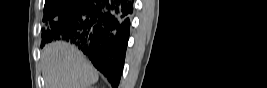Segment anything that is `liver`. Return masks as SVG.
<instances>
[{
    "mask_svg": "<svg viewBox=\"0 0 267 88\" xmlns=\"http://www.w3.org/2000/svg\"><path fill=\"white\" fill-rule=\"evenodd\" d=\"M45 88H88L98 72L81 51L66 42L47 44L41 53Z\"/></svg>",
    "mask_w": 267,
    "mask_h": 88,
    "instance_id": "6515ba94",
    "label": "liver"
}]
</instances>
